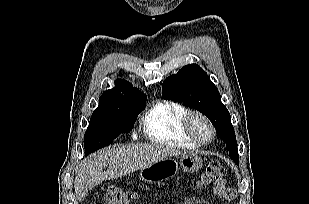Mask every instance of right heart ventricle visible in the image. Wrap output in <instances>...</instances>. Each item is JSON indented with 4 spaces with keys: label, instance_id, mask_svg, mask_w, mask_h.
<instances>
[{
    "label": "right heart ventricle",
    "instance_id": "1",
    "mask_svg": "<svg viewBox=\"0 0 309 204\" xmlns=\"http://www.w3.org/2000/svg\"><path fill=\"white\" fill-rule=\"evenodd\" d=\"M189 112L183 104L162 100L153 104L142 117L145 136L152 142L168 146L195 148L185 133L183 122Z\"/></svg>",
    "mask_w": 309,
    "mask_h": 204
}]
</instances>
